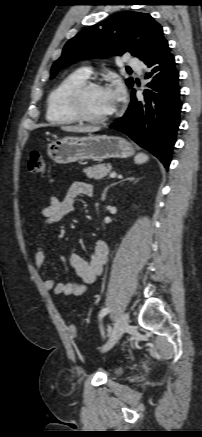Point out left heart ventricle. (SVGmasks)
Masks as SVG:
<instances>
[{
    "mask_svg": "<svg viewBox=\"0 0 202 437\" xmlns=\"http://www.w3.org/2000/svg\"><path fill=\"white\" fill-rule=\"evenodd\" d=\"M116 106L117 101L107 88L91 89L84 98V109L93 117L107 116Z\"/></svg>",
    "mask_w": 202,
    "mask_h": 437,
    "instance_id": "left-heart-ventricle-1",
    "label": "left heart ventricle"
}]
</instances>
